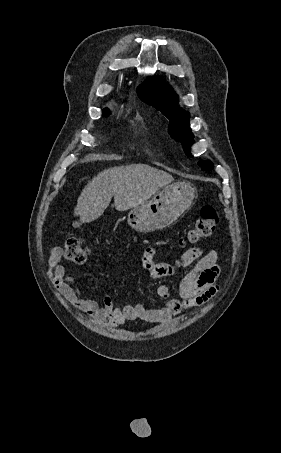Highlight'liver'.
<instances>
[{
	"label": "liver",
	"mask_w": 281,
	"mask_h": 453,
	"mask_svg": "<svg viewBox=\"0 0 281 453\" xmlns=\"http://www.w3.org/2000/svg\"><path fill=\"white\" fill-rule=\"evenodd\" d=\"M174 178L149 164H126L105 168L93 176L78 196L74 214L82 222H92L103 214L112 196L116 210H128L144 204L161 186Z\"/></svg>",
	"instance_id": "liver-1"
}]
</instances>
